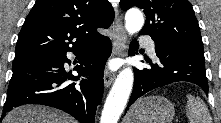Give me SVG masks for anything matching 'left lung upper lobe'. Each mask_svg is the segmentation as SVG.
<instances>
[{"label": "left lung upper lobe", "instance_id": "5c2ea615", "mask_svg": "<svg viewBox=\"0 0 221 123\" xmlns=\"http://www.w3.org/2000/svg\"><path fill=\"white\" fill-rule=\"evenodd\" d=\"M123 10L139 7L146 15L142 34L172 48L203 51L198 21L188 0H121Z\"/></svg>", "mask_w": 221, "mask_h": 123}]
</instances>
